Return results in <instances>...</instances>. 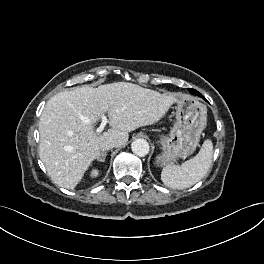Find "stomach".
<instances>
[{
	"mask_svg": "<svg viewBox=\"0 0 264 264\" xmlns=\"http://www.w3.org/2000/svg\"><path fill=\"white\" fill-rule=\"evenodd\" d=\"M176 122L168 135L159 136L162 153L156 160L161 165H172L180 158L191 155L206 127L205 106L195 97L178 95L175 101Z\"/></svg>",
	"mask_w": 264,
	"mask_h": 264,
	"instance_id": "obj_1",
	"label": "stomach"
}]
</instances>
